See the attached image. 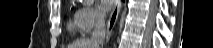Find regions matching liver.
<instances>
[{"mask_svg":"<svg viewBox=\"0 0 213 48\" xmlns=\"http://www.w3.org/2000/svg\"><path fill=\"white\" fill-rule=\"evenodd\" d=\"M69 48H96L88 38L75 41Z\"/></svg>","mask_w":213,"mask_h":48,"instance_id":"6515ba94","label":"liver"}]
</instances>
